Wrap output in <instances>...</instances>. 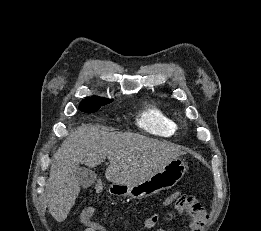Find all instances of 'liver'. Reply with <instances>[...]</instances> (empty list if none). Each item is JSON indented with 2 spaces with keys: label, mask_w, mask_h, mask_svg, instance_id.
<instances>
[{
  "label": "liver",
  "mask_w": 261,
  "mask_h": 231,
  "mask_svg": "<svg viewBox=\"0 0 261 231\" xmlns=\"http://www.w3.org/2000/svg\"><path fill=\"white\" fill-rule=\"evenodd\" d=\"M184 154L181 147L169 142L82 125L70 133L53 156L46 184L49 213L57 222L67 218L80 193L75 177L79 164L94 168L107 158L106 179L124 185L142 182Z\"/></svg>",
  "instance_id": "6515ba94"
}]
</instances>
